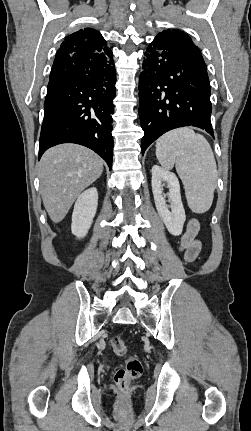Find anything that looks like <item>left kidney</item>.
<instances>
[{"instance_id": "left-kidney-1", "label": "left kidney", "mask_w": 251, "mask_h": 431, "mask_svg": "<svg viewBox=\"0 0 251 431\" xmlns=\"http://www.w3.org/2000/svg\"><path fill=\"white\" fill-rule=\"evenodd\" d=\"M163 182L168 184L169 192L167 196L171 200V210L166 205L165 196L163 195ZM152 192L157 212L166 225L167 230L173 236H179L182 233L186 215L181 200L180 184L177 176L159 165H154L152 167Z\"/></svg>"}]
</instances>
